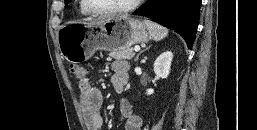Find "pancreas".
<instances>
[{
  "label": "pancreas",
  "instance_id": "obj_1",
  "mask_svg": "<svg viewBox=\"0 0 257 130\" xmlns=\"http://www.w3.org/2000/svg\"><path fill=\"white\" fill-rule=\"evenodd\" d=\"M134 55L132 48H123L109 53V56L116 60H131Z\"/></svg>",
  "mask_w": 257,
  "mask_h": 130
}]
</instances>
